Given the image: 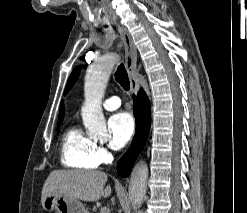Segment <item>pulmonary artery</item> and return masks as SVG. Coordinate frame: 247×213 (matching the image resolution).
I'll return each mask as SVG.
<instances>
[{"mask_svg":"<svg viewBox=\"0 0 247 213\" xmlns=\"http://www.w3.org/2000/svg\"><path fill=\"white\" fill-rule=\"evenodd\" d=\"M121 105V100L119 97L117 96H112L110 98H107L104 102H103V107L106 110H115L117 108H119Z\"/></svg>","mask_w":247,"mask_h":213,"instance_id":"e3ab8cb5","label":"pulmonary artery"}]
</instances>
